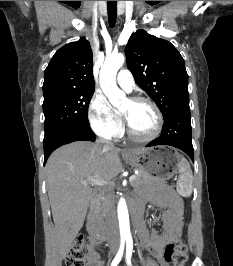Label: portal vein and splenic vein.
Listing matches in <instances>:
<instances>
[{
    "label": "portal vein and splenic vein",
    "mask_w": 233,
    "mask_h": 266,
    "mask_svg": "<svg viewBox=\"0 0 233 266\" xmlns=\"http://www.w3.org/2000/svg\"><path fill=\"white\" fill-rule=\"evenodd\" d=\"M136 178V175H131L129 177V181L132 182L134 181ZM91 185H100V186H104V185H108V182L105 181L104 179H100V178H96V177H91L87 180Z\"/></svg>",
    "instance_id": "portal-vein-and-splenic-vein-1"
}]
</instances>
